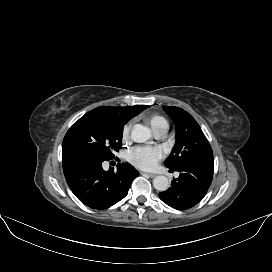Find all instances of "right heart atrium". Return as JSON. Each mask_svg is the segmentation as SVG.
<instances>
[{
    "mask_svg": "<svg viewBox=\"0 0 272 272\" xmlns=\"http://www.w3.org/2000/svg\"><path fill=\"white\" fill-rule=\"evenodd\" d=\"M131 127H132V123L131 122H128V123H126L123 126L122 132H121V139H122V141L125 142V141H127L129 139Z\"/></svg>",
    "mask_w": 272,
    "mask_h": 272,
    "instance_id": "obj_1",
    "label": "right heart atrium"
}]
</instances>
